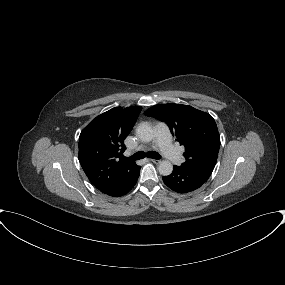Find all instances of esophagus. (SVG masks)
Instances as JSON below:
<instances>
[{"label": "esophagus", "instance_id": "1", "mask_svg": "<svg viewBox=\"0 0 285 285\" xmlns=\"http://www.w3.org/2000/svg\"><path fill=\"white\" fill-rule=\"evenodd\" d=\"M150 161L153 162V163H156V164L160 163L159 159H150Z\"/></svg>", "mask_w": 285, "mask_h": 285}]
</instances>
